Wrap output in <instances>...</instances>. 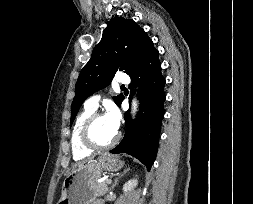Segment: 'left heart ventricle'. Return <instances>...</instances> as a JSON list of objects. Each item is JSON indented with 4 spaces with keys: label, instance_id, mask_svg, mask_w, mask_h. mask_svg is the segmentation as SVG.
I'll return each instance as SVG.
<instances>
[{
    "label": "left heart ventricle",
    "instance_id": "1",
    "mask_svg": "<svg viewBox=\"0 0 253 204\" xmlns=\"http://www.w3.org/2000/svg\"><path fill=\"white\" fill-rule=\"evenodd\" d=\"M116 133L117 131L111 127L105 116L97 119L91 131L92 138L100 145L110 142Z\"/></svg>",
    "mask_w": 253,
    "mask_h": 204
}]
</instances>
